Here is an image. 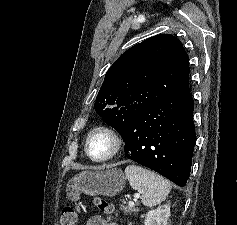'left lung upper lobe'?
I'll use <instances>...</instances> for the list:
<instances>
[{
	"label": "left lung upper lobe",
	"instance_id": "obj_1",
	"mask_svg": "<svg viewBox=\"0 0 237 225\" xmlns=\"http://www.w3.org/2000/svg\"><path fill=\"white\" fill-rule=\"evenodd\" d=\"M180 40L157 35L124 52L106 72L94 108L120 134L145 110L189 87Z\"/></svg>",
	"mask_w": 237,
	"mask_h": 225
}]
</instances>
